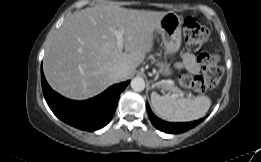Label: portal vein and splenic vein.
<instances>
[{
	"instance_id": "portal-vein-and-splenic-vein-1",
	"label": "portal vein and splenic vein",
	"mask_w": 261,
	"mask_h": 162,
	"mask_svg": "<svg viewBox=\"0 0 261 162\" xmlns=\"http://www.w3.org/2000/svg\"><path fill=\"white\" fill-rule=\"evenodd\" d=\"M113 35L116 37L117 47L119 49H123V46H124L123 32L120 31V30H114L113 31ZM162 82L166 83V84H169V85H173L174 84V82L172 80H165V81H162ZM171 91L174 92V94H173L174 97L183 96V93L181 91H179L178 89H173Z\"/></svg>"
}]
</instances>
